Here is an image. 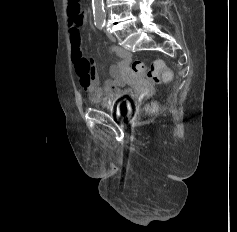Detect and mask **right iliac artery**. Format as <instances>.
<instances>
[{
	"label": "right iliac artery",
	"instance_id": "right-iliac-artery-1",
	"mask_svg": "<svg viewBox=\"0 0 237 232\" xmlns=\"http://www.w3.org/2000/svg\"><path fill=\"white\" fill-rule=\"evenodd\" d=\"M104 25H99V28L102 29Z\"/></svg>",
	"mask_w": 237,
	"mask_h": 232
}]
</instances>
